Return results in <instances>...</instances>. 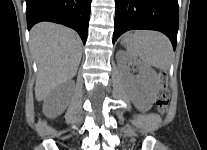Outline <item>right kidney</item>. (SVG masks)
<instances>
[{
	"label": "right kidney",
	"mask_w": 207,
	"mask_h": 150,
	"mask_svg": "<svg viewBox=\"0 0 207 150\" xmlns=\"http://www.w3.org/2000/svg\"><path fill=\"white\" fill-rule=\"evenodd\" d=\"M62 94L63 89L56 88L45 98L43 103V113L47 117H56L60 115L67 107L65 101H59V98L62 96Z\"/></svg>",
	"instance_id": "obj_1"
}]
</instances>
